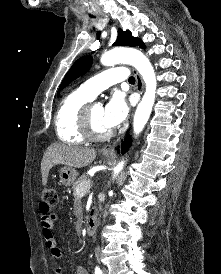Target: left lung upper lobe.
<instances>
[{
	"mask_svg": "<svg viewBox=\"0 0 221 274\" xmlns=\"http://www.w3.org/2000/svg\"><path fill=\"white\" fill-rule=\"evenodd\" d=\"M115 45L131 47L139 46L140 48L145 49V44L142 42V40L133 37L130 31H122L121 29L118 31V38L117 42H115ZM91 64L92 58L90 56H85L78 59L64 77L59 87V91L66 87L74 79L86 73L90 69Z\"/></svg>",
	"mask_w": 221,
	"mask_h": 274,
	"instance_id": "obj_1",
	"label": "left lung upper lobe"
}]
</instances>
